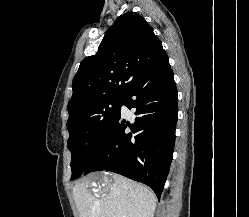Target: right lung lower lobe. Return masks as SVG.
Instances as JSON below:
<instances>
[{"instance_id":"1","label":"right lung lower lobe","mask_w":249,"mask_h":217,"mask_svg":"<svg viewBox=\"0 0 249 217\" xmlns=\"http://www.w3.org/2000/svg\"><path fill=\"white\" fill-rule=\"evenodd\" d=\"M123 105L136 109L135 121L118 116L87 157L83 174L110 170L148 185L160 199L173 157L178 115L177 89L166 53L127 93Z\"/></svg>"}]
</instances>
